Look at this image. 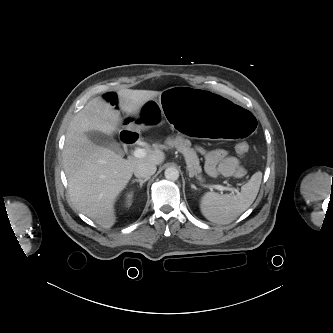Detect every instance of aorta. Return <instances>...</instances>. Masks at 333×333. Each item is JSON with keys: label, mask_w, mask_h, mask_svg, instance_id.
<instances>
[{"label": "aorta", "mask_w": 333, "mask_h": 333, "mask_svg": "<svg viewBox=\"0 0 333 333\" xmlns=\"http://www.w3.org/2000/svg\"><path fill=\"white\" fill-rule=\"evenodd\" d=\"M164 175L167 180L175 181L179 178V171L175 167H168Z\"/></svg>", "instance_id": "obj_1"}]
</instances>
